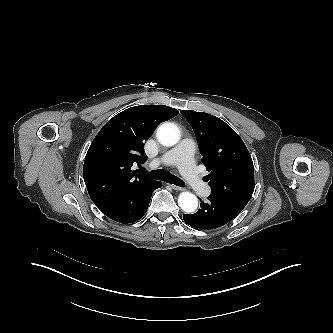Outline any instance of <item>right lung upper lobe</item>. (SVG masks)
<instances>
[{
    "instance_id": "1",
    "label": "right lung upper lobe",
    "mask_w": 333,
    "mask_h": 333,
    "mask_svg": "<svg viewBox=\"0 0 333 333\" xmlns=\"http://www.w3.org/2000/svg\"><path fill=\"white\" fill-rule=\"evenodd\" d=\"M178 113L165 105L134 106L115 115L99 131L83 166L88 193L98 208L111 205L152 181L136 174L132 166L146 161L144 142L155 128Z\"/></svg>"
}]
</instances>
